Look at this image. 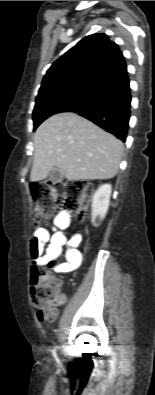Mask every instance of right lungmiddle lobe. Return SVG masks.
Instances as JSON below:
<instances>
[{"label": "right lung middle lobe", "mask_w": 155, "mask_h": 395, "mask_svg": "<svg viewBox=\"0 0 155 395\" xmlns=\"http://www.w3.org/2000/svg\"><path fill=\"white\" fill-rule=\"evenodd\" d=\"M101 84L69 81L39 90L33 111L34 129L53 114L66 111L96 91Z\"/></svg>", "instance_id": "obj_1"}]
</instances>
